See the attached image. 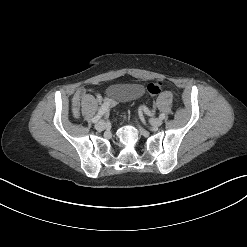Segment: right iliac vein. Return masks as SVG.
Instances as JSON below:
<instances>
[{
  "instance_id": "right-iliac-vein-1",
  "label": "right iliac vein",
  "mask_w": 247,
  "mask_h": 247,
  "mask_svg": "<svg viewBox=\"0 0 247 247\" xmlns=\"http://www.w3.org/2000/svg\"><path fill=\"white\" fill-rule=\"evenodd\" d=\"M95 128L98 130V131H102L106 128V123L104 121H99L96 125H95Z\"/></svg>"
}]
</instances>
